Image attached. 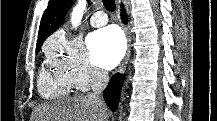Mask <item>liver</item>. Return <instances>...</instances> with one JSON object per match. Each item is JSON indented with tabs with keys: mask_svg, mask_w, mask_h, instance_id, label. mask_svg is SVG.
Listing matches in <instances>:
<instances>
[{
	"mask_svg": "<svg viewBox=\"0 0 217 121\" xmlns=\"http://www.w3.org/2000/svg\"><path fill=\"white\" fill-rule=\"evenodd\" d=\"M37 121H108L104 104L88 96L62 99L36 109Z\"/></svg>",
	"mask_w": 217,
	"mask_h": 121,
	"instance_id": "obj_1",
	"label": "liver"
}]
</instances>
